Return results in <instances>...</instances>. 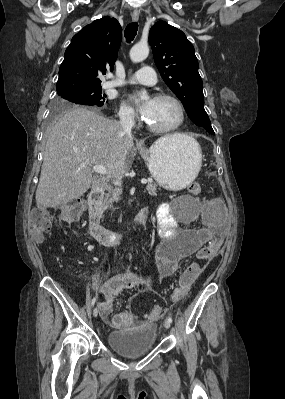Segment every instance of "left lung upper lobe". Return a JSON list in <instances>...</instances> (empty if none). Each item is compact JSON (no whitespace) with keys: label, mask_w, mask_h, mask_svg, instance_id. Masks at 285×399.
I'll return each mask as SVG.
<instances>
[{"label":"left lung upper lobe","mask_w":285,"mask_h":399,"mask_svg":"<svg viewBox=\"0 0 285 399\" xmlns=\"http://www.w3.org/2000/svg\"><path fill=\"white\" fill-rule=\"evenodd\" d=\"M149 43L162 79L183 103L192 122L214 134L204 109L203 84L193 45L181 30L166 21L151 27Z\"/></svg>","instance_id":"1"}]
</instances>
